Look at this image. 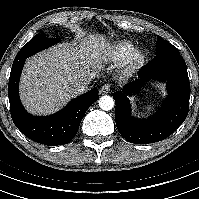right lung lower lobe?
Wrapping results in <instances>:
<instances>
[{"label":"right lung lower lobe","instance_id":"98d812e1","mask_svg":"<svg viewBox=\"0 0 199 199\" xmlns=\"http://www.w3.org/2000/svg\"><path fill=\"white\" fill-rule=\"evenodd\" d=\"M25 59L13 62L8 97L11 117L16 127L29 139L48 146L69 143L76 135L87 109L99 98L98 89L71 100L61 111L50 116H33L22 106L18 85Z\"/></svg>","mask_w":199,"mask_h":199}]
</instances>
